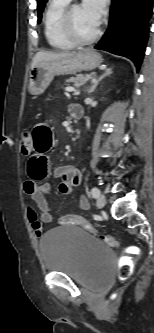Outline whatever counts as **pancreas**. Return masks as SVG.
<instances>
[{
	"mask_svg": "<svg viewBox=\"0 0 154 333\" xmlns=\"http://www.w3.org/2000/svg\"><path fill=\"white\" fill-rule=\"evenodd\" d=\"M86 81H87V77L82 74H78L75 77H71L70 79L66 80L67 83H73V86L75 88L80 87L81 85L86 83Z\"/></svg>",
	"mask_w": 154,
	"mask_h": 333,
	"instance_id": "pancreas-1",
	"label": "pancreas"
}]
</instances>
